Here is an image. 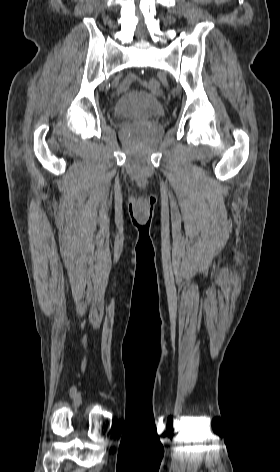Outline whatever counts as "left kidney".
<instances>
[{
  "label": "left kidney",
  "instance_id": "obj_1",
  "mask_svg": "<svg viewBox=\"0 0 280 472\" xmlns=\"http://www.w3.org/2000/svg\"><path fill=\"white\" fill-rule=\"evenodd\" d=\"M195 1H197V2H198V1H200V0H195ZM219 1H223V0H219Z\"/></svg>",
  "mask_w": 280,
  "mask_h": 472
}]
</instances>
